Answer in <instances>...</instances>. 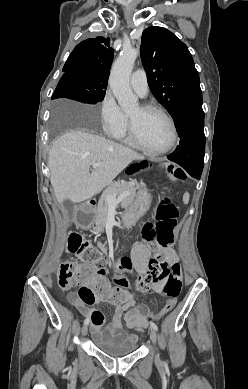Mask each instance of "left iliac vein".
Masks as SVG:
<instances>
[{"instance_id": "4c4485c4", "label": "left iliac vein", "mask_w": 248, "mask_h": 389, "mask_svg": "<svg viewBox=\"0 0 248 389\" xmlns=\"http://www.w3.org/2000/svg\"><path fill=\"white\" fill-rule=\"evenodd\" d=\"M150 339H151L152 344L155 346L157 343V334L153 328L150 329Z\"/></svg>"}]
</instances>
